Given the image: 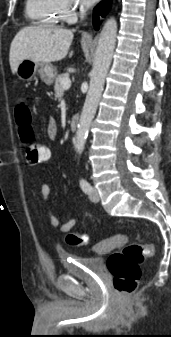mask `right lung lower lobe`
<instances>
[{
  "instance_id": "obj_1",
  "label": "right lung lower lobe",
  "mask_w": 171,
  "mask_h": 337,
  "mask_svg": "<svg viewBox=\"0 0 171 337\" xmlns=\"http://www.w3.org/2000/svg\"><path fill=\"white\" fill-rule=\"evenodd\" d=\"M109 8H110L109 0H104L102 3L98 4L94 8L93 25H94L96 30H98L99 24H100L99 14H101L102 16L106 15Z\"/></svg>"
}]
</instances>
